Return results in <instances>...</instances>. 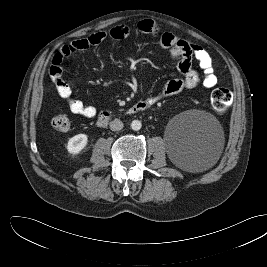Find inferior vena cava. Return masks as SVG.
Masks as SVG:
<instances>
[{"label": "inferior vena cava", "instance_id": "602c4592", "mask_svg": "<svg viewBox=\"0 0 267 267\" xmlns=\"http://www.w3.org/2000/svg\"><path fill=\"white\" fill-rule=\"evenodd\" d=\"M109 127L112 131H119L123 128V122L118 119H115L110 122Z\"/></svg>", "mask_w": 267, "mask_h": 267}]
</instances>
